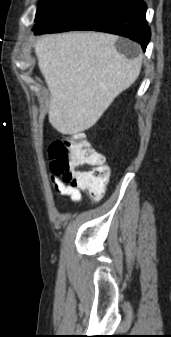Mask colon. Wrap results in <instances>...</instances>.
<instances>
[{
    "label": "colon",
    "instance_id": "5ec220e1",
    "mask_svg": "<svg viewBox=\"0 0 171 337\" xmlns=\"http://www.w3.org/2000/svg\"><path fill=\"white\" fill-rule=\"evenodd\" d=\"M51 170L63 182L89 192L99 200L109 181L110 170L104 155L96 150L83 132L63 135L49 146Z\"/></svg>",
    "mask_w": 171,
    "mask_h": 337
}]
</instances>
